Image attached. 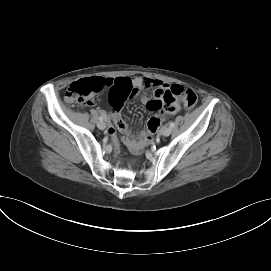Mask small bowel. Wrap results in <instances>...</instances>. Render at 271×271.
<instances>
[{"label": "small bowel", "mask_w": 271, "mask_h": 271, "mask_svg": "<svg viewBox=\"0 0 271 271\" xmlns=\"http://www.w3.org/2000/svg\"><path fill=\"white\" fill-rule=\"evenodd\" d=\"M105 83L104 98L110 101L112 126L109 127V134L113 137L118 132L125 135L124 141L131 146L136 144L134 135L121 115L122 104L141 93V89H152L154 98L146 95L141 96V101L154 114L152 118L160 120L166 113L174 114L178 111V104L167 108L163 104L162 93L172 85L160 80L140 78H103Z\"/></svg>", "instance_id": "1"}]
</instances>
